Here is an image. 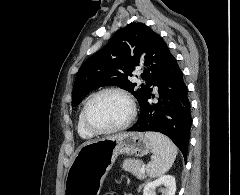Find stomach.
<instances>
[{
    "label": "stomach",
    "mask_w": 240,
    "mask_h": 195,
    "mask_svg": "<svg viewBox=\"0 0 240 195\" xmlns=\"http://www.w3.org/2000/svg\"><path fill=\"white\" fill-rule=\"evenodd\" d=\"M151 141L142 131H122L79 145L67 171L66 195H99L102 183L120 153L142 157Z\"/></svg>",
    "instance_id": "0dacf381"
}]
</instances>
